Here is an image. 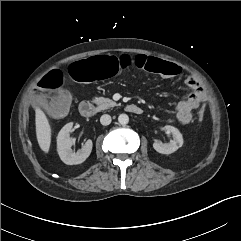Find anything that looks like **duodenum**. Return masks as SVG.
I'll return each instance as SVG.
<instances>
[{"mask_svg":"<svg viewBox=\"0 0 241 241\" xmlns=\"http://www.w3.org/2000/svg\"><path fill=\"white\" fill-rule=\"evenodd\" d=\"M126 109L128 112L133 114H141L142 108L135 105V104H129L126 106ZM79 112L83 117L90 118L95 113V106L92 102L88 100H84L79 104Z\"/></svg>","mask_w":241,"mask_h":241,"instance_id":"410a0bca","label":"duodenum"}]
</instances>
